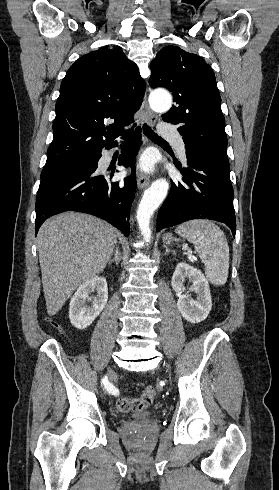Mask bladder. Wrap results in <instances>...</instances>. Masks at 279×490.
I'll list each match as a JSON object with an SVG mask.
<instances>
[{"label": "bladder", "instance_id": "obj_1", "mask_svg": "<svg viewBox=\"0 0 279 490\" xmlns=\"http://www.w3.org/2000/svg\"><path fill=\"white\" fill-rule=\"evenodd\" d=\"M158 413L155 410H146V411H139V412H134L131 415H129V420L130 421H143L146 418H149L151 416H157Z\"/></svg>", "mask_w": 279, "mask_h": 490}]
</instances>
